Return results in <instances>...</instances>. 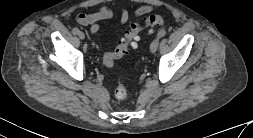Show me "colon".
<instances>
[{
	"label": "colon",
	"instance_id": "colon-1",
	"mask_svg": "<svg viewBox=\"0 0 253 138\" xmlns=\"http://www.w3.org/2000/svg\"><path fill=\"white\" fill-rule=\"evenodd\" d=\"M163 24V18L157 14H151L145 17L141 23L131 24L130 28L125 32L123 38L118 42L114 50L105 54V65L112 67L114 65V61L126 55L131 47H137V43L140 39L139 35L143 30L151 32L155 28L161 27ZM114 96L119 101H122L127 97V89L122 82H120L116 87Z\"/></svg>",
	"mask_w": 253,
	"mask_h": 138
}]
</instances>
